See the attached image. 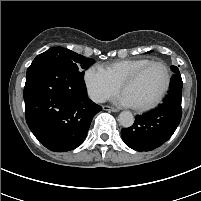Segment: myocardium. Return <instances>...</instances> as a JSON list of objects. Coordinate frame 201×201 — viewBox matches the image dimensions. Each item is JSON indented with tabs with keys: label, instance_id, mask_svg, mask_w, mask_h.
Listing matches in <instances>:
<instances>
[{
	"label": "myocardium",
	"instance_id": "myocardium-1",
	"mask_svg": "<svg viewBox=\"0 0 201 201\" xmlns=\"http://www.w3.org/2000/svg\"><path fill=\"white\" fill-rule=\"evenodd\" d=\"M153 65H160L163 67L166 76L165 84L159 95L152 102L144 105H133V108L138 111L150 110L156 107L163 100V98L165 97L171 86L172 76L169 66L162 60H151L150 62L144 64L143 66L135 70L133 73H131L127 78L123 80V82L120 85L121 91H124V89L129 84L133 83L147 68Z\"/></svg>",
	"mask_w": 201,
	"mask_h": 201
}]
</instances>
